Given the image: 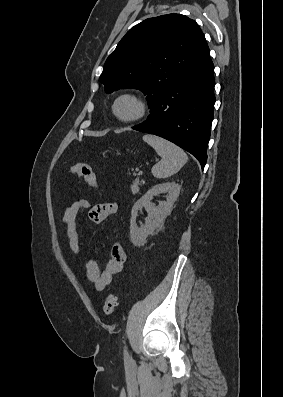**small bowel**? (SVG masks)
Listing matches in <instances>:
<instances>
[{
  "mask_svg": "<svg viewBox=\"0 0 283 397\" xmlns=\"http://www.w3.org/2000/svg\"><path fill=\"white\" fill-rule=\"evenodd\" d=\"M88 211L89 219L93 223H102L104 220L113 217L118 211L116 203L93 204L91 201L81 198L73 201L66 207L62 224L66 228L69 248L75 255L80 253V238L77 229V216L80 211ZM126 261V253L123 246L114 243L111 249V257L103 269L92 258L85 262L86 275L97 290L105 289L111 282L114 275L120 273Z\"/></svg>",
  "mask_w": 283,
  "mask_h": 397,
  "instance_id": "obj_1",
  "label": "small bowel"
}]
</instances>
